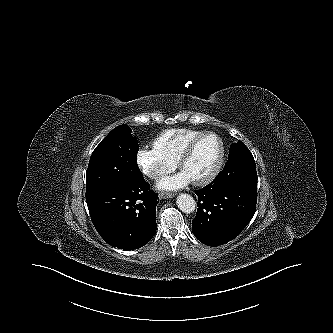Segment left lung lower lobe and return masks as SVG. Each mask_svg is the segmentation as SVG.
<instances>
[{
    "label": "left lung lower lobe",
    "instance_id": "0a47b994",
    "mask_svg": "<svg viewBox=\"0 0 333 333\" xmlns=\"http://www.w3.org/2000/svg\"><path fill=\"white\" fill-rule=\"evenodd\" d=\"M223 169L211 184L195 191L198 209L193 234L202 243L219 246L237 237L251 221L257 189L237 182L234 172Z\"/></svg>",
    "mask_w": 333,
    "mask_h": 333
}]
</instances>
